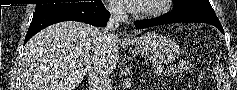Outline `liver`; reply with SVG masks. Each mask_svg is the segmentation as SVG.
I'll list each match as a JSON object with an SVG mask.
<instances>
[{"instance_id":"1","label":"liver","mask_w":237,"mask_h":90,"mask_svg":"<svg viewBox=\"0 0 237 90\" xmlns=\"http://www.w3.org/2000/svg\"><path fill=\"white\" fill-rule=\"evenodd\" d=\"M101 30L81 22L53 24L33 36L20 60L22 90H76L96 56ZM119 48L110 64L116 66Z\"/></svg>"}]
</instances>
